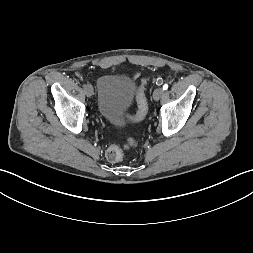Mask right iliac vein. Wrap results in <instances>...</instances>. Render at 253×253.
Instances as JSON below:
<instances>
[{"label":"right iliac vein","mask_w":253,"mask_h":253,"mask_svg":"<svg viewBox=\"0 0 253 253\" xmlns=\"http://www.w3.org/2000/svg\"><path fill=\"white\" fill-rule=\"evenodd\" d=\"M84 92L88 97H91L93 95V87L91 85H86L84 88Z\"/></svg>","instance_id":"63e3f726"}]
</instances>
